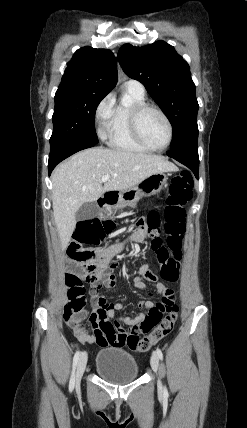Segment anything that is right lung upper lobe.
Returning <instances> with one entry per match:
<instances>
[{"mask_svg":"<svg viewBox=\"0 0 247 428\" xmlns=\"http://www.w3.org/2000/svg\"><path fill=\"white\" fill-rule=\"evenodd\" d=\"M117 83V60L107 49L89 46L76 51L56 94L74 91L107 95Z\"/></svg>","mask_w":247,"mask_h":428,"instance_id":"cb5924a9","label":"right lung upper lobe"}]
</instances>
